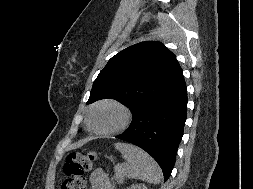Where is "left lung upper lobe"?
I'll return each instance as SVG.
<instances>
[{
	"instance_id": "5c2ea615",
	"label": "left lung upper lobe",
	"mask_w": 253,
	"mask_h": 189,
	"mask_svg": "<svg viewBox=\"0 0 253 189\" xmlns=\"http://www.w3.org/2000/svg\"><path fill=\"white\" fill-rule=\"evenodd\" d=\"M175 55L162 43L145 41L113 56L93 83L87 104L112 98L133 116L181 75Z\"/></svg>"
}]
</instances>
